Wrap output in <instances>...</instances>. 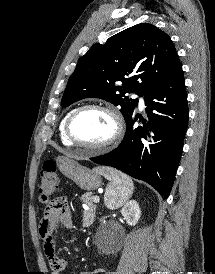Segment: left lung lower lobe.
Wrapping results in <instances>:
<instances>
[{
  "label": "left lung lower lobe",
  "mask_w": 215,
  "mask_h": 274,
  "mask_svg": "<svg viewBox=\"0 0 215 274\" xmlns=\"http://www.w3.org/2000/svg\"><path fill=\"white\" fill-rule=\"evenodd\" d=\"M147 120L134 127V113L126 121L124 139L113 151L90 158L149 183L165 199L172 188L188 124V103L182 67L144 94ZM141 121V119L139 120Z\"/></svg>",
  "instance_id": "1"
}]
</instances>
